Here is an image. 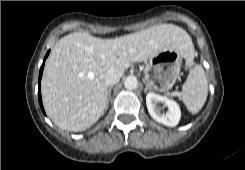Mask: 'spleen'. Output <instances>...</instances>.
<instances>
[{"instance_id":"3e777b00","label":"spleen","mask_w":245,"mask_h":170,"mask_svg":"<svg viewBox=\"0 0 245 170\" xmlns=\"http://www.w3.org/2000/svg\"><path fill=\"white\" fill-rule=\"evenodd\" d=\"M207 95L206 74L201 65H195L179 93V99L186 105L190 113L196 114L204 106Z\"/></svg>"}]
</instances>
